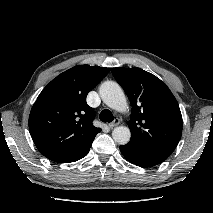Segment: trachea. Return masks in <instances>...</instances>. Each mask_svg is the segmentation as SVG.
<instances>
[{
  "label": "trachea",
  "instance_id": "1",
  "mask_svg": "<svg viewBox=\"0 0 213 213\" xmlns=\"http://www.w3.org/2000/svg\"><path fill=\"white\" fill-rule=\"evenodd\" d=\"M99 118H100V120H101L102 122H105V123L108 122V123H110V122L113 121L114 116H113V114H112V112H111L110 110L104 109V110L100 113Z\"/></svg>",
  "mask_w": 213,
  "mask_h": 213
}]
</instances>
